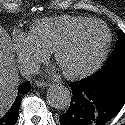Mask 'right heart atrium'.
<instances>
[{
    "label": "right heart atrium",
    "instance_id": "1",
    "mask_svg": "<svg viewBox=\"0 0 125 125\" xmlns=\"http://www.w3.org/2000/svg\"><path fill=\"white\" fill-rule=\"evenodd\" d=\"M12 45L18 62L26 73L35 71L48 55L36 44L31 34L27 32H16L12 38Z\"/></svg>",
    "mask_w": 125,
    "mask_h": 125
}]
</instances>
